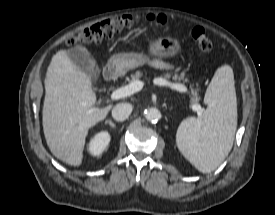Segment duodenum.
<instances>
[{"label": "duodenum", "instance_id": "duodenum-1", "mask_svg": "<svg viewBox=\"0 0 275 215\" xmlns=\"http://www.w3.org/2000/svg\"><path fill=\"white\" fill-rule=\"evenodd\" d=\"M104 76L109 81H114L117 77L115 71L110 68H108L104 71Z\"/></svg>", "mask_w": 275, "mask_h": 215}]
</instances>
